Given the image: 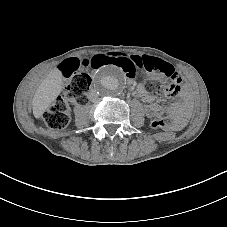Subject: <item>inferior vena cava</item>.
<instances>
[{"label": "inferior vena cava", "mask_w": 227, "mask_h": 227, "mask_svg": "<svg viewBox=\"0 0 227 227\" xmlns=\"http://www.w3.org/2000/svg\"><path fill=\"white\" fill-rule=\"evenodd\" d=\"M99 93L95 91L94 89H91L89 92V100L91 102H94L98 99Z\"/></svg>", "instance_id": "inferior-vena-cava-1"}]
</instances>
